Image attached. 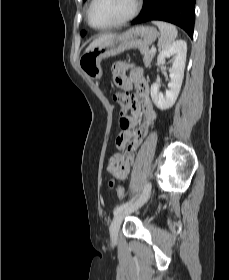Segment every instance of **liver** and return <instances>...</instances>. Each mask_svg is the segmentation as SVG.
<instances>
[{
	"label": "liver",
	"mask_w": 229,
	"mask_h": 280,
	"mask_svg": "<svg viewBox=\"0 0 229 280\" xmlns=\"http://www.w3.org/2000/svg\"><path fill=\"white\" fill-rule=\"evenodd\" d=\"M115 34L112 33H105L101 36H99L97 39H95L92 43H90V45L86 48L85 52L89 51L90 49L104 43L105 41H107L108 39H110L111 37H113Z\"/></svg>",
	"instance_id": "1"
}]
</instances>
